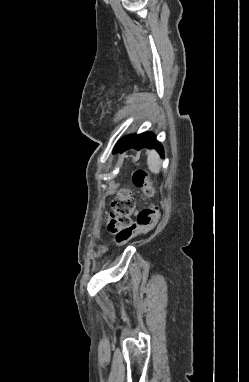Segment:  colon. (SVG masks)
Segmentation results:
<instances>
[{
  "label": "colon",
  "instance_id": "colon-1",
  "mask_svg": "<svg viewBox=\"0 0 249 382\" xmlns=\"http://www.w3.org/2000/svg\"><path fill=\"white\" fill-rule=\"evenodd\" d=\"M133 182L147 195L153 194V188L145 170H137L133 174ZM134 208L135 201L125 189L120 190L112 201L107 223L109 231L115 234L116 245L119 247L126 245L135 235L147 232L156 223L158 215L156 206L152 205L140 210L135 219L131 217Z\"/></svg>",
  "mask_w": 249,
  "mask_h": 382
}]
</instances>
